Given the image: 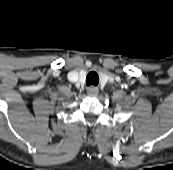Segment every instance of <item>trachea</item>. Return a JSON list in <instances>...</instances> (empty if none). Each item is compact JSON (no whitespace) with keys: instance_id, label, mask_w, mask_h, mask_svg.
I'll return each instance as SVG.
<instances>
[{"instance_id":"trachea-1","label":"trachea","mask_w":173,"mask_h":170,"mask_svg":"<svg viewBox=\"0 0 173 170\" xmlns=\"http://www.w3.org/2000/svg\"><path fill=\"white\" fill-rule=\"evenodd\" d=\"M99 82V77L95 72H90L86 77V84L89 85H97Z\"/></svg>"}]
</instances>
